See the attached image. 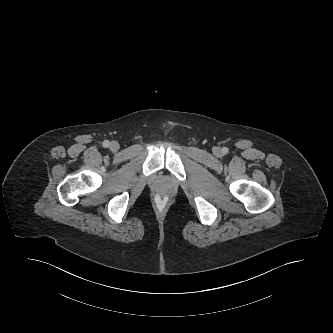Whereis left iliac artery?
<instances>
[{
  "label": "left iliac artery",
  "instance_id": "obj_1",
  "mask_svg": "<svg viewBox=\"0 0 333 333\" xmlns=\"http://www.w3.org/2000/svg\"><path fill=\"white\" fill-rule=\"evenodd\" d=\"M222 152H223L224 154L228 153V148L223 147V148H222Z\"/></svg>",
  "mask_w": 333,
  "mask_h": 333
}]
</instances>
